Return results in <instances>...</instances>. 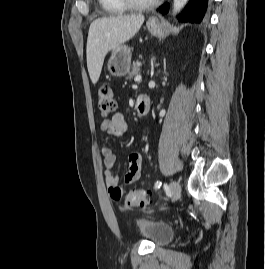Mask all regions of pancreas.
<instances>
[{"label":"pancreas","instance_id":"pancreas-1","mask_svg":"<svg viewBox=\"0 0 265 269\" xmlns=\"http://www.w3.org/2000/svg\"><path fill=\"white\" fill-rule=\"evenodd\" d=\"M140 72V63L138 61L133 63L132 70L129 72L128 78L131 79L132 77L138 75Z\"/></svg>","mask_w":265,"mask_h":269}]
</instances>
